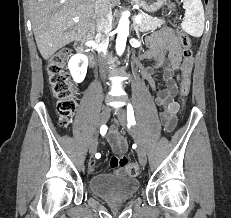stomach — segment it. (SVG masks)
I'll return each mask as SVG.
<instances>
[{
    "instance_id": "obj_1",
    "label": "stomach",
    "mask_w": 231,
    "mask_h": 218,
    "mask_svg": "<svg viewBox=\"0 0 231 218\" xmlns=\"http://www.w3.org/2000/svg\"><path fill=\"white\" fill-rule=\"evenodd\" d=\"M133 3L139 5L144 11L154 13L158 11L165 3L166 0H132Z\"/></svg>"
}]
</instances>
